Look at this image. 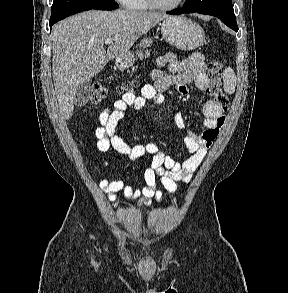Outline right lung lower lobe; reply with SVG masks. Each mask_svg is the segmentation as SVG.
<instances>
[{"instance_id":"1","label":"right lung lower lobe","mask_w":288,"mask_h":293,"mask_svg":"<svg viewBox=\"0 0 288 293\" xmlns=\"http://www.w3.org/2000/svg\"><path fill=\"white\" fill-rule=\"evenodd\" d=\"M82 11H85V10H81V11H78V12H82ZM78 12H75V13H78ZM75 13H73V14H75ZM72 15V14H71ZM69 16V15H68ZM67 17V16H66ZM65 18V17H64ZM63 19V18H62ZM59 20H61V19H57V20H54V21H50L49 22V24H50V29H51V27H52V25L53 24H55L56 22H58Z\"/></svg>"}]
</instances>
